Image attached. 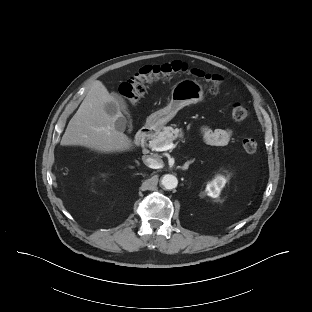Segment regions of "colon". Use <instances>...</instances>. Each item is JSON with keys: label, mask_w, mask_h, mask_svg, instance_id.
Instances as JSON below:
<instances>
[{"label": "colon", "mask_w": 312, "mask_h": 312, "mask_svg": "<svg viewBox=\"0 0 312 312\" xmlns=\"http://www.w3.org/2000/svg\"><path fill=\"white\" fill-rule=\"evenodd\" d=\"M179 75H189L204 82L212 93L219 91L220 76L208 74L200 69L189 68L182 62L175 61L143 66L131 79L120 85L119 92L129 104L136 105L145 95L148 85L155 82H169ZM248 114V109L243 104L235 103L231 106L230 116L235 122L244 121ZM242 147L245 152L253 154L258 150V142L253 137H246L242 141Z\"/></svg>", "instance_id": "obj_1"}]
</instances>
